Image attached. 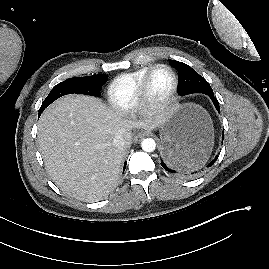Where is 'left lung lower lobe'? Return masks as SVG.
Segmentation results:
<instances>
[{
    "mask_svg": "<svg viewBox=\"0 0 269 269\" xmlns=\"http://www.w3.org/2000/svg\"><path fill=\"white\" fill-rule=\"evenodd\" d=\"M206 95H208L211 98L217 111L220 112L219 103L217 99L214 97V94L206 93ZM217 158L218 156H216L214 160L209 162L207 164V167H211ZM161 165L166 171L170 173L189 176V177H194L198 175L202 170L199 167H196V168L189 167V169H184L183 166L180 165L179 160H178V154L173 147H170L166 153L164 154L162 153Z\"/></svg>",
    "mask_w": 269,
    "mask_h": 269,
    "instance_id": "1",
    "label": "left lung lower lobe"
}]
</instances>
